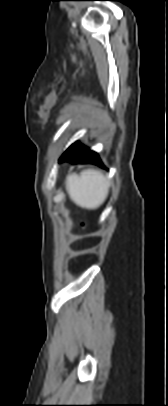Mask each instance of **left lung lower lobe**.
Wrapping results in <instances>:
<instances>
[{
    "mask_svg": "<svg viewBox=\"0 0 168 406\" xmlns=\"http://www.w3.org/2000/svg\"><path fill=\"white\" fill-rule=\"evenodd\" d=\"M59 161H70L72 163H93L103 166L98 155L90 151L87 147L81 145L79 142L70 146L61 156Z\"/></svg>",
    "mask_w": 168,
    "mask_h": 406,
    "instance_id": "obj_1",
    "label": "left lung lower lobe"
}]
</instances>
